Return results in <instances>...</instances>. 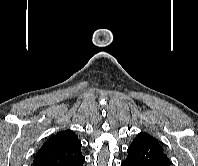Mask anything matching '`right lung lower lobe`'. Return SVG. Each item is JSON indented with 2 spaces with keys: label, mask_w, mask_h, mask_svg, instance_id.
<instances>
[{
  "label": "right lung lower lobe",
  "mask_w": 198,
  "mask_h": 166,
  "mask_svg": "<svg viewBox=\"0 0 198 166\" xmlns=\"http://www.w3.org/2000/svg\"><path fill=\"white\" fill-rule=\"evenodd\" d=\"M84 161H85V158H83V159H81V160H79V161H76V162H74V163H71V164H69V165H67V166H82L83 163H84Z\"/></svg>",
  "instance_id": "obj_1"
}]
</instances>
